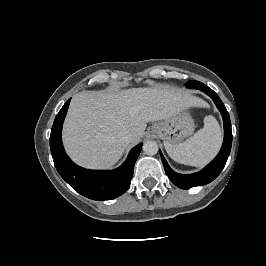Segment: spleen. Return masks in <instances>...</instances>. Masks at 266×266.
<instances>
[{
  "instance_id": "3e777b00",
  "label": "spleen",
  "mask_w": 266,
  "mask_h": 266,
  "mask_svg": "<svg viewBox=\"0 0 266 266\" xmlns=\"http://www.w3.org/2000/svg\"><path fill=\"white\" fill-rule=\"evenodd\" d=\"M222 133L217 120L209 115L204 118V127L183 143H164L168 155L176 162L202 167L218 152Z\"/></svg>"
}]
</instances>
